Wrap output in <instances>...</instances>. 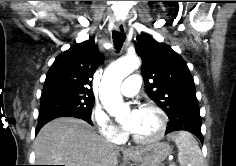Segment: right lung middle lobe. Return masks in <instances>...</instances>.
<instances>
[{
  "label": "right lung middle lobe",
  "mask_w": 236,
  "mask_h": 166,
  "mask_svg": "<svg viewBox=\"0 0 236 166\" xmlns=\"http://www.w3.org/2000/svg\"><path fill=\"white\" fill-rule=\"evenodd\" d=\"M95 97L68 90L55 89L42 92L39 121L61 117L67 113H80L91 118Z\"/></svg>",
  "instance_id": "obj_1"
}]
</instances>
